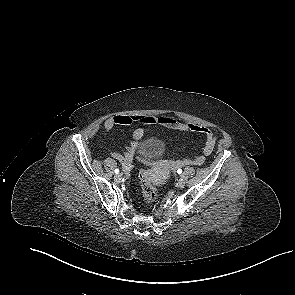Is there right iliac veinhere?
<instances>
[{
    "instance_id": "63e3f726",
    "label": "right iliac vein",
    "mask_w": 295,
    "mask_h": 295,
    "mask_svg": "<svg viewBox=\"0 0 295 295\" xmlns=\"http://www.w3.org/2000/svg\"><path fill=\"white\" fill-rule=\"evenodd\" d=\"M121 178H122V174H121V173H118V174L115 176V179H116L117 181L121 180Z\"/></svg>"
}]
</instances>
